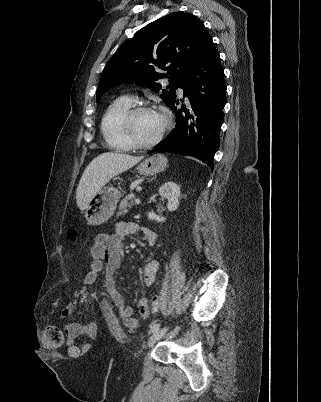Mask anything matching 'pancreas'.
Instances as JSON below:
<instances>
[{"label": "pancreas", "mask_w": 321, "mask_h": 402, "mask_svg": "<svg viewBox=\"0 0 321 402\" xmlns=\"http://www.w3.org/2000/svg\"><path fill=\"white\" fill-rule=\"evenodd\" d=\"M135 203L133 201V198L131 196H126L119 205V212L117 213V216H122L125 215L129 209L132 208V206H134Z\"/></svg>", "instance_id": "pancreas-1"}]
</instances>
